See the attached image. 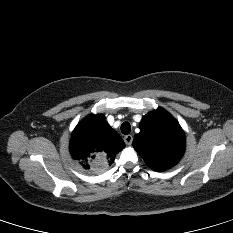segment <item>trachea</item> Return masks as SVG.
<instances>
[{"instance_id":"1","label":"trachea","mask_w":233,"mask_h":233,"mask_svg":"<svg viewBox=\"0 0 233 233\" xmlns=\"http://www.w3.org/2000/svg\"><path fill=\"white\" fill-rule=\"evenodd\" d=\"M130 131H131L130 124L128 122L122 123V125H121V132H122V134L127 135V134L130 133Z\"/></svg>"}]
</instances>
